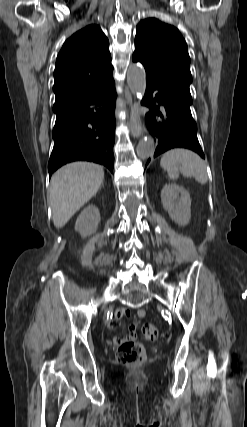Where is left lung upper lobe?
Here are the masks:
<instances>
[{
  "label": "left lung upper lobe",
  "instance_id": "left-lung-upper-lobe-1",
  "mask_svg": "<svg viewBox=\"0 0 247 427\" xmlns=\"http://www.w3.org/2000/svg\"><path fill=\"white\" fill-rule=\"evenodd\" d=\"M136 29L132 59L144 65L146 81L191 105L190 57L178 29L156 18L140 21Z\"/></svg>",
  "mask_w": 247,
  "mask_h": 427
}]
</instances>
